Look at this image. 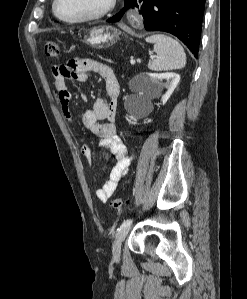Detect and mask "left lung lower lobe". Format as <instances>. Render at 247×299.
Segmentation results:
<instances>
[{
    "instance_id": "1",
    "label": "left lung lower lobe",
    "mask_w": 247,
    "mask_h": 299,
    "mask_svg": "<svg viewBox=\"0 0 247 299\" xmlns=\"http://www.w3.org/2000/svg\"><path fill=\"white\" fill-rule=\"evenodd\" d=\"M205 0H132L107 22H118L130 7H140L148 31L179 38L197 58Z\"/></svg>"
}]
</instances>
